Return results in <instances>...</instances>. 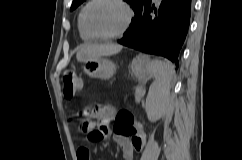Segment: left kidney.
Here are the masks:
<instances>
[{
	"label": "left kidney",
	"mask_w": 242,
	"mask_h": 160,
	"mask_svg": "<svg viewBox=\"0 0 242 160\" xmlns=\"http://www.w3.org/2000/svg\"><path fill=\"white\" fill-rule=\"evenodd\" d=\"M166 107H157L152 103H146V113L150 122H156L164 116Z\"/></svg>",
	"instance_id": "1"
}]
</instances>
